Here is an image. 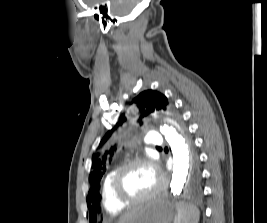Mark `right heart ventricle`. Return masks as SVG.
<instances>
[{
  "label": "right heart ventricle",
  "mask_w": 267,
  "mask_h": 223,
  "mask_svg": "<svg viewBox=\"0 0 267 223\" xmlns=\"http://www.w3.org/2000/svg\"><path fill=\"white\" fill-rule=\"evenodd\" d=\"M120 168L119 165L111 168L105 175L102 183L101 198L105 210L111 214H117L125 209V205L116 200L112 192V179Z\"/></svg>",
  "instance_id": "right-heart-ventricle-1"
}]
</instances>
